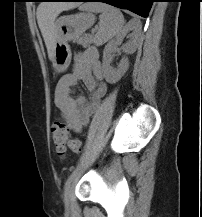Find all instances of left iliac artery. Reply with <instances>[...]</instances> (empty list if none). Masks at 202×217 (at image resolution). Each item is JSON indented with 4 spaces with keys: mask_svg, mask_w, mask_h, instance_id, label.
<instances>
[{
    "mask_svg": "<svg viewBox=\"0 0 202 217\" xmlns=\"http://www.w3.org/2000/svg\"><path fill=\"white\" fill-rule=\"evenodd\" d=\"M76 171L77 169L73 170V172L70 174V176L68 177L66 183H65V190L66 188L70 185V183L73 181L75 175H76Z\"/></svg>",
    "mask_w": 202,
    "mask_h": 217,
    "instance_id": "44dca946",
    "label": "left iliac artery"
}]
</instances>
